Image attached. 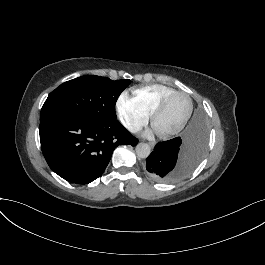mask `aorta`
I'll list each match as a JSON object with an SVG mask.
<instances>
[{"mask_svg": "<svg viewBox=\"0 0 265 265\" xmlns=\"http://www.w3.org/2000/svg\"><path fill=\"white\" fill-rule=\"evenodd\" d=\"M136 154L139 158H147L150 155V146L146 143H139L136 146Z\"/></svg>", "mask_w": 265, "mask_h": 265, "instance_id": "762f6f07", "label": "aorta"}]
</instances>
